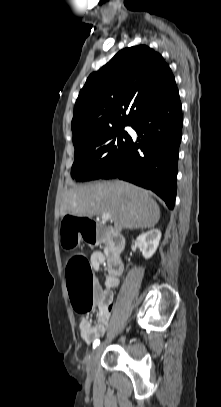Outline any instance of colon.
I'll return each mask as SVG.
<instances>
[{"mask_svg": "<svg viewBox=\"0 0 221 407\" xmlns=\"http://www.w3.org/2000/svg\"><path fill=\"white\" fill-rule=\"evenodd\" d=\"M60 239L66 248L75 246L77 239H87L88 246H100L109 238L106 222H98L94 216H63ZM67 288L73 308L86 314L95 304V283L88 260L82 255L70 259L66 268Z\"/></svg>", "mask_w": 221, "mask_h": 407, "instance_id": "5ec220e1", "label": "colon"}]
</instances>
